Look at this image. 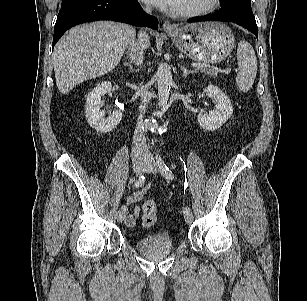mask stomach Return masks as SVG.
Segmentation results:
<instances>
[{
	"label": "stomach",
	"mask_w": 307,
	"mask_h": 301,
	"mask_svg": "<svg viewBox=\"0 0 307 301\" xmlns=\"http://www.w3.org/2000/svg\"><path fill=\"white\" fill-rule=\"evenodd\" d=\"M180 51L202 63H217L234 48L232 31L220 22L189 24L167 32Z\"/></svg>",
	"instance_id": "0dacf381"
}]
</instances>
